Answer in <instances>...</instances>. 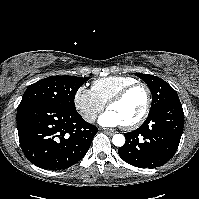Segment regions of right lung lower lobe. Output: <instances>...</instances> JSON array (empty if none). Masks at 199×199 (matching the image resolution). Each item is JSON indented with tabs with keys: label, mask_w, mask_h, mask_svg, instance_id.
<instances>
[{
	"label": "right lung lower lobe",
	"mask_w": 199,
	"mask_h": 199,
	"mask_svg": "<svg viewBox=\"0 0 199 199\" xmlns=\"http://www.w3.org/2000/svg\"><path fill=\"white\" fill-rule=\"evenodd\" d=\"M17 129L26 158L51 170L65 169L81 160L98 132L77 111L43 103L19 105Z\"/></svg>",
	"instance_id": "98d812e1"
}]
</instances>
